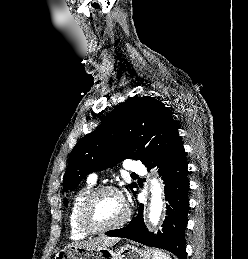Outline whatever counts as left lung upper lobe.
I'll return each mask as SVG.
<instances>
[{
    "label": "left lung upper lobe",
    "instance_id": "obj_1",
    "mask_svg": "<svg viewBox=\"0 0 248 259\" xmlns=\"http://www.w3.org/2000/svg\"><path fill=\"white\" fill-rule=\"evenodd\" d=\"M179 140L172 112L162 102L150 96L130 97L73 148L63 191H73L89 173L124 159L140 160L150 166ZM129 186L132 189L136 184ZM64 202L67 204L68 200L65 198Z\"/></svg>",
    "mask_w": 248,
    "mask_h": 259
}]
</instances>
